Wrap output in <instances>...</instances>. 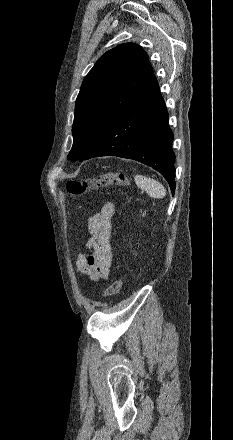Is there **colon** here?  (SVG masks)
Masks as SVG:
<instances>
[{"label": "colon", "mask_w": 233, "mask_h": 440, "mask_svg": "<svg viewBox=\"0 0 233 440\" xmlns=\"http://www.w3.org/2000/svg\"><path fill=\"white\" fill-rule=\"evenodd\" d=\"M129 184V177L125 173L120 172L116 174H103L96 177L84 178L80 180H70L66 184V190L71 196L77 197L94 189L116 185L127 186ZM121 287L122 279H115L106 289L103 297L109 298L117 295Z\"/></svg>", "instance_id": "colon-1"}]
</instances>
